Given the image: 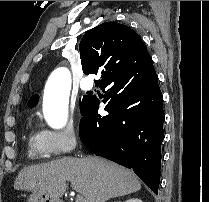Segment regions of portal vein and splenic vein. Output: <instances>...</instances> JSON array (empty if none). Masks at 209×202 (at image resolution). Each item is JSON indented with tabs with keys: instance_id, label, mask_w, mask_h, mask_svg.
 I'll return each mask as SVG.
<instances>
[{
	"instance_id": "portal-vein-and-splenic-vein-1",
	"label": "portal vein and splenic vein",
	"mask_w": 209,
	"mask_h": 202,
	"mask_svg": "<svg viewBox=\"0 0 209 202\" xmlns=\"http://www.w3.org/2000/svg\"><path fill=\"white\" fill-rule=\"evenodd\" d=\"M75 202H85V199L82 195H77Z\"/></svg>"
}]
</instances>
